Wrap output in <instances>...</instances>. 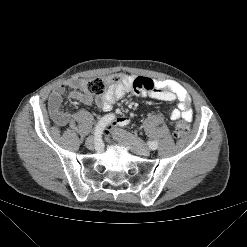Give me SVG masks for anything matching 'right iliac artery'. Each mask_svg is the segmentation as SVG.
<instances>
[{
    "label": "right iliac artery",
    "mask_w": 247,
    "mask_h": 247,
    "mask_svg": "<svg viewBox=\"0 0 247 247\" xmlns=\"http://www.w3.org/2000/svg\"><path fill=\"white\" fill-rule=\"evenodd\" d=\"M115 118L114 114H107L102 117L94 130V139L96 140L95 143V150L97 152H102L104 150L103 140L101 139L102 131L104 130L105 126L110 123Z\"/></svg>",
    "instance_id": "obj_1"
}]
</instances>
